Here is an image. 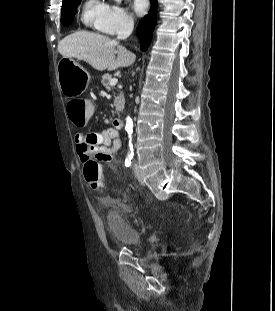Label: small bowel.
Segmentation results:
<instances>
[{
	"mask_svg": "<svg viewBox=\"0 0 275 311\" xmlns=\"http://www.w3.org/2000/svg\"><path fill=\"white\" fill-rule=\"evenodd\" d=\"M74 142L76 152L84 164L90 160L110 161L122 145L119 129L115 126L101 132H79Z\"/></svg>",
	"mask_w": 275,
	"mask_h": 311,
	"instance_id": "small-bowel-1",
	"label": "small bowel"
}]
</instances>
